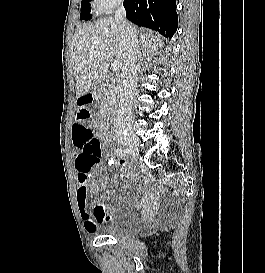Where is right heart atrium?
Returning a JSON list of instances; mask_svg holds the SVG:
<instances>
[{"instance_id": "obj_1", "label": "right heart atrium", "mask_w": 265, "mask_h": 273, "mask_svg": "<svg viewBox=\"0 0 265 273\" xmlns=\"http://www.w3.org/2000/svg\"><path fill=\"white\" fill-rule=\"evenodd\" d=\"M123 0H93V8L97 12H105L122 4Z\"/></svg>"}]
</instances>
